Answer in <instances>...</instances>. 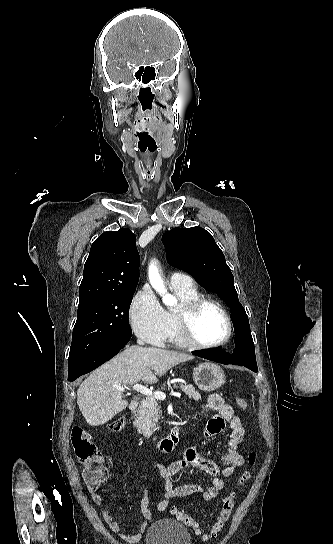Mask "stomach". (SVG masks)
<instances>
[{"label":"stomach","mask_w":333,"mask_h":544,"mask_svg":"<svg viewBox=\"0 0 333 544\" xmlns=\"http://www.w3.org/2000/svg\"><path fill=\"white\" fill-rule=\"evenodd\" d=\"M193 380L198 388L211 392L225 383V375L222 368L217 364L204 362L194 368Z\"/></svg>","instance_id":"1"}]
</instances>
